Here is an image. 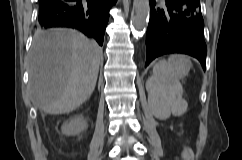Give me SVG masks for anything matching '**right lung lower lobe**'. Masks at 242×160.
<instances>
[{"label":"right lung lower lobe","mask_w":242,"mask_h":160,"mask_svg":"<svg viewBox=\"0 0 242 160\" xmlns=\"http://www.w3.org/2000/svg\"><path fill=\"white\" fill-rule=\"evenodd\" d=\"M43 28L69 27L93 37L102 45L109 11L117 0H39Z\"/></svg>","instance_id":"1"}]
</instances>
